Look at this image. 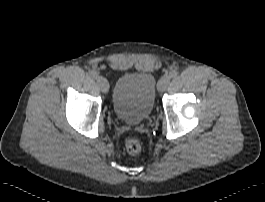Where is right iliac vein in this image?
I'll list each match as a JSON object with an SVG mask.
<instances>
[{"mask_svg": "<svg viewBox=\"0 0 265 202\" xmlns=\"http://www.w3.org/2000/svg\"><path fill=\"white\" fill-rule=\"evenodd\" d=\"M96 80H97V84L99 88L101 89V91L107 92L109 89L108 81L102 76H98Z\"/></svg>", "mask_w": 265, "mask_h": 202, "instance_id": "right-iliac-vein-1", "label": "right iliac vein"}]
</instances>
